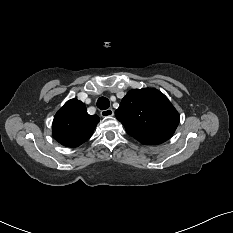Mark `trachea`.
<instances>
[{
  "instance_id": "trachea-1",
  "label": "trachea",
  "mask_w": 233,
  "mask_h": 233,
  "mask_svg": "<svg viewBox=\"0 0 233 233\" xmlns=\"http://www.w3.org/2000/svg\"><path fill=\"white\" fill-rule=\"evenodd\" d=\"M110 106V102L107 98L105 97H100L98 100H97V107L100 109V110H106L108 109Z\"/></svg>"
}]
</instances>
